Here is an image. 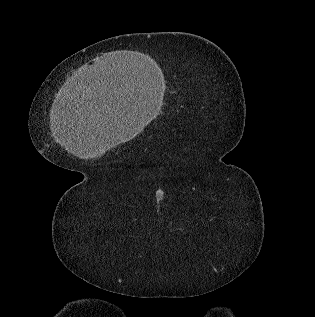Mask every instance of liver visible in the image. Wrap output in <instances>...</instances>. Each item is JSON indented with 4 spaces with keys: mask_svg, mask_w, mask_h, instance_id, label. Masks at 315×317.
<instances>
[{
    "mask_svg": "<svg viewBox=\"0 0 315 317\" xmlns=\"http://www.w3.org/2000/svg\"><path fill=\"white\" fill-rule=\"evenodd\" d=\"M106 119L87 116L67 118L64 121V130L67 136L60 138V143L66 150L81 158L97 157L107 148L130 139L136 127L131 128L128 123L122 125L120 133L113 131L107 125ZM122 121L121 123H124ZM113 136V137H112Z\"/></svg>",
    "mask_w": 315,
    "mask_h": 317,
    "instance_id": "1",
    "label": "liver"
}]
</instances>
